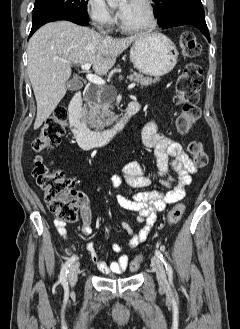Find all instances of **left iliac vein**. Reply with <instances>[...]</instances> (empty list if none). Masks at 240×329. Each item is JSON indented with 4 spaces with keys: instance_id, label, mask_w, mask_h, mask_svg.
Masks as SVG:
<instances>
[{
    "instance_id": "left-iliac-vein-1",
    "label": "left iliac vein",
    "mask_w": 240,
    "mask_h": 329,
    "mask_svg": "<svg viewBox=\"0 0 240 329\" xmlns=\"http://www.w3.org/2000/svg\"><path fill=\"white\" fill-rule=\"evenodd\" d=\"M151 262H152L153 269L156 272L159 284L163 287L166 286L167 278H166L165 269H164L162 261L160 260V258L158 256L155 255L152 257Z\"/></svg>"
}]
</instances>
